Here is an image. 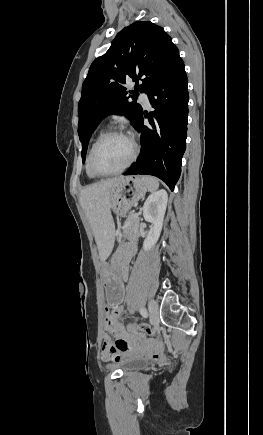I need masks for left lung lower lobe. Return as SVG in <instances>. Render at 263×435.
<instances>
[{
    "label": "left lung lower lobe",
    "mask_w": 263,
    "mask_h": 435,
    "mask_svg": "<svg viewBox=\"0 0 263 435\" xmlns=\"http://www.w3.org/2000/svg\"><path fill=\"white\" fill-rule=\"evenodd\" d=\"M188 80L180 58L169 73L148 93L155 109L151 127L144 126V115L136 125L141 134L142 149L137 161L124 175L148 174L162 179L173 190L181 173L186 149L188 116Z\"/></svg>",
    "instance_id": "left-lung-lower-lobe-1"
}]
</instances>
